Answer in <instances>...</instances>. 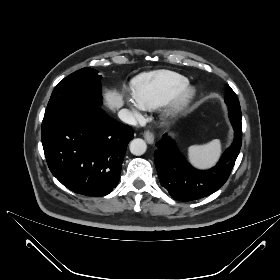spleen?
Returning a JSON list of instances; mask_svg holds the SVG:
<instances>
[{"instance_id":"spleen-1","label":"spleen","mask_w":280,"mask_h":280,"mask_svg":"<svg viewBox=\"0 0 280 280\" xmlns=\"http://www.w3.org/2000/svg\"><path fill=\"white\" fill-rule=\"evenodd\" d=\"M220 154L221 143L218 139L202 145H193L188 148L189 162L199 169H207L215 165Z\"/></svg>"}]
</instances>
